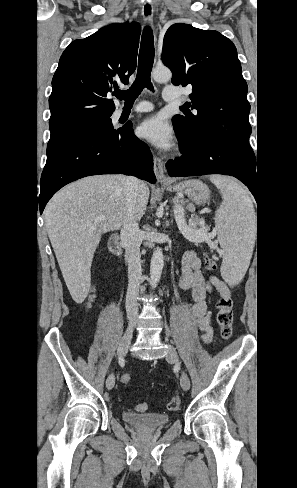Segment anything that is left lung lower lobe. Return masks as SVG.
Wrapping results in <instances>:
<instances>
[{"label": "left lung lower lobe", "mask_w": 297, "mask_h": 488, "mask_svg": "<svg viewBox=\"0 0 297 488\" xmlns=\"http://www.w3.org/2000/svg\"><path fill=\"white\" fill-rule=\"evenodd\" d=\"M183 155L166 163L167 175L173 177L225 174L243 182L258 202V182L253 150L218 140L195 143L179 141Z\"/></svg>", "instance_id": "obj_1"}]
</instances>
